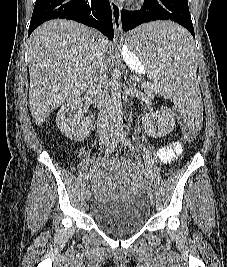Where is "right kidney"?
<instances>
[{
    "mask_svg": "<svg viewBox=\"0 0 227 267\" xmlns=\"http://www.w3.org/2000/svg\"><path fill=\"white\" fill-rule=\"evenodd\" d=\"M82 101L75 98L61 106L57 113L56 124L60 131L73 141L84 140L91 131V120L82 116Z\"/></svg>",
    "mask_w": 227,
    "mask_h": 267,
    "instance_id": "obj_1",
    "label": "right kidney"
}]
</instances>
